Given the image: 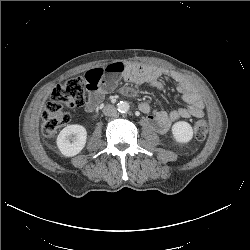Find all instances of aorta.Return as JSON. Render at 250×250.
Segmentation results:
<instances>
[{"label": "aorta", "instance_id": "obj_1", "mask_svg": "<svg viewBox=\"0 0 250 250\" xmlns=\"http://www.w3.org/2000/svg\"><path fill=\"white\" fill-rule=\"evenodd\" d=\"M117 109L119 112L121 113H126L129 111L130 109V105L128 102L126 101H120L118 104H117Z\"/></svg>", "mask_w": 250, "mask_h": 250}]
</instances>
